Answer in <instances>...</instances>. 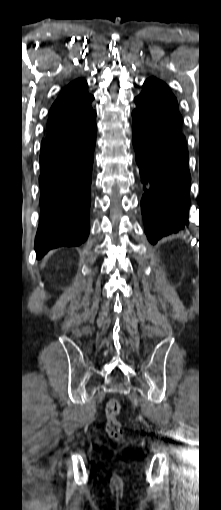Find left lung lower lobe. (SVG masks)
<instances>
[{"label": "left lung lower lobe", "instance_id": "1", "mask_svg": "<svg viewBox=\"0 0 221 510\" xmlns=\"http://www.w3.org/2000/svg\"><path fill=\"white\" fill-rule=\"evenodd\" d=\"M132 118L136 161L142 181L150 185L141 201L145 232L155 244L188 226V150L184 140L163 131L139 110Z\"/></svg>", "mask_w": 221, "mask_h": 510}]
</instances>
